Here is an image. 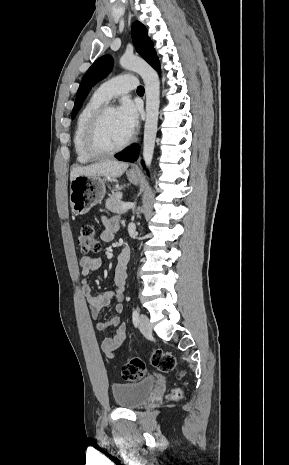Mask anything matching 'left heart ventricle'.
Segmentation results:
<instances>
[{
    "label": "left heart ventricle",
    "instance_id": "b2bd125f",
    "mask_svg": "<svg viewBox=\"0 0 289 465\" xmlns=\"http://www.w3.org/2000/svg\"><path fill=\"white\" fill-rule=\"evenodd\" d=\"M128 138L124 132L116 109H111L105 115L100 130V140L106 147H116Z\"/></svg>",
    "mask_w": 289,
    "mask_h": 465
}]
</instances>
